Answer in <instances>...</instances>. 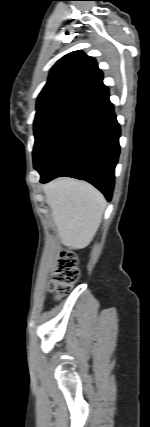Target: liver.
Returning <instances> with one entry per match:
<instances>
[{
    "label": "liver",
    "mask_w": 150,
    "mask_h": 427,
    "mask_svg": "<svg viewBox=\"0 0 150 427\" xmlns=\"http://www.w3.org/2000/svg\"><path fill=\"white\" fill-rule=\"evenodd\" d=\"M43 190L62 244L70 249L88 246L102 221L104 196L92 185L71 178L53 180Z\"/></svg>",
    "instance_id": "liver-1"
}]
</instances>
